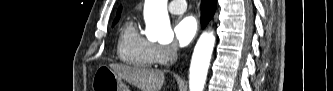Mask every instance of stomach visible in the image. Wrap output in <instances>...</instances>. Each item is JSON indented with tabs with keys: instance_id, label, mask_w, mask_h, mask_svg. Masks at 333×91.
Instances as JSON below:
<instances>
[{
	"instance_id": "1",
	"label": "stomach",
	"mask_w": 333,
	"mask_h": 91,
	"mask_svg": "<svg viewBox=\"0 0 333 91\" xmlns=\"http://www.w3.org/2000/svg\"><path fill=\"white\" fill-rule=\"evenodd\" d=\"M93 91H129L122 79L109 67L100 66L92 80Z\"/></svg>"
}]
</instances>
